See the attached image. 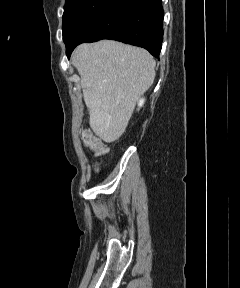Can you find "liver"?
<instances>
[{
  "mask_svg": "<svg viewBox=\"0 0 240 288\" xmlns=\"http://www.w3.org/2000/svg\"><path fill=\"white\" fill-rule=\"evenodd\" d=\"M72 64L81 76L93 132L106 143L116 141L137 101L154 82L155 60L143 48L102 40L79 45Z\"/></svg>",
  "mask_w": 240,
  "mask_h": 288,
  "instance_id": "1",
  "label": "liver"
}]
</instances>
